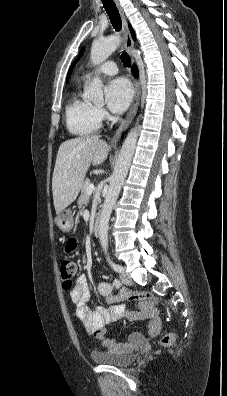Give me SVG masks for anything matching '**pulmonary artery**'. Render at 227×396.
<instances>
[{
	"label": "pulmonary artery",
	"mask_w": 227,
	"mask_h": 396,
	"mask_svg": "<svg viewBox=\"0 0 227 396\" xmlns=\"http://www.w3.org/2000/svg\"><path fill=\"white\" fill-rule=\"evenodd\" d=\"M118 72V68L116 63L113 61H107L97 68L90 70L85 75V78H90L94 74H106V75H114Z\"/></svg>",
	"instance_id": "e3ab8cb5"
}]
</instances>
